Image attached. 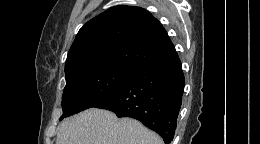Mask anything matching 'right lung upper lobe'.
<instances>
[{
  "instance_id": "right-lung-upper-lobe-1",
  "label": "right lung upper lobe",
  "mask_w": 260,
  "mask_h": 144,
  "mask_svg": "<svg viewBox=\"0 0 260 144\" xmlns=\"http://www.w3.org/2000/svg\"><path fill=\"white\" fill-rule=\"evenodd\" d=\"M173 51L167 32L149 12L115 6L79 30L67 55L65 73L102 64L135 70Z\"/></svg>"
}]
</instances>
